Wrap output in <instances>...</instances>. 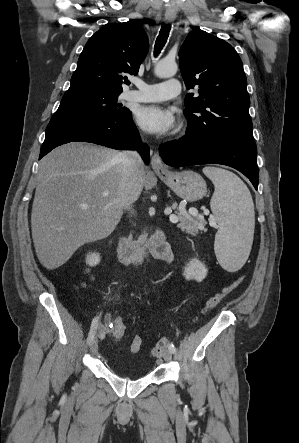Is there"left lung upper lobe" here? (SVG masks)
I'll use <instances>...</instances> for the list:
<instances>
[{"label":"left lung upper lobe","mask_w":299,"mask_h":443,"mask_svg":"<svg viewBox=\"0 0 299 443\" xmlns=\"http://www.w3.org/2000/svg\"><path fill=\"white\" fill-rule=\"evenodd\" d=\"M186 95L187 134L202 138L253 137L249 115L250 98L242 61L222 39L195 29L179 51Z\"/></svg>","instance_id":"left-lung-upper-lobe-1"}]
</instances>
